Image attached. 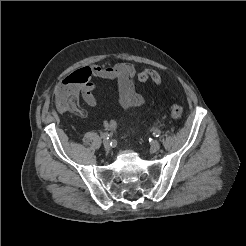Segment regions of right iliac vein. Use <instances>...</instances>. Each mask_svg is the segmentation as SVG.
Returning <instances> with one entry per match:
<instances>
[{
  "mask_svg": "<svg viewBox=\"0 0 246 246\" xmlns=\"http://www.w3.org/2000/svg\"><path fill=\"white\" fill-rule=\"evenodd\" d=\"M103 146H104V148H105L106 150H109V149L111 148V146H110V141L107 140V139H104V141H103Z\"/></svg>",
  "mask_w": 246,
  "mask_h": 246,
  "instance_id": "right-iliac-vein-1",
  "label": "right iliac vein"
}]
</instances>
